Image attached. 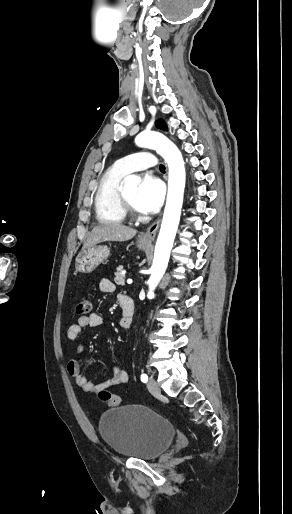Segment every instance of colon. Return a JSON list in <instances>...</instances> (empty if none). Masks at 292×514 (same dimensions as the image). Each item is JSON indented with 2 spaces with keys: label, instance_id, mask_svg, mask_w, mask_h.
<instances>
[{
  "label": "colon",
  "instance_id": "5ec220e1",
  "mask_svg": "<svg viewBox=\"0 0 292 514\" xmlns=\"http://www.w3.org/2000/svg\"><path fill=\"white\" fill-rule=\"evenodd\" d=\"M76 313L79 315H87L91 311V302L88 299L79 300L75 306ZM100 400L110 408H116L121 404V398L107 390L99 392Z\"/></svg>",
  "mask_w": 292,
  "mask_h": 514
}]
</instances>
